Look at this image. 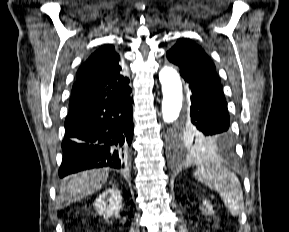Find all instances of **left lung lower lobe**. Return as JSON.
<instances>
[{
  "label": "left lung lower lobe",
  "instance_id": "1",
  "mask_svg": "<svg viewBox=\"0 0 289 232\" xmlns=\"http://www.w3.org/2000/svg\"><path fill=\"white\" fill-rule=\"evenodd\" d=\"M180 74L192 93L190 127L201 138L213 144L212 150L230 153L234 147V140L229 127L227 103L220 83L196 72L181 70Z\"/></svg>",
  "mask_w": 289,
  "mask_h": 232
}]
</instances>
